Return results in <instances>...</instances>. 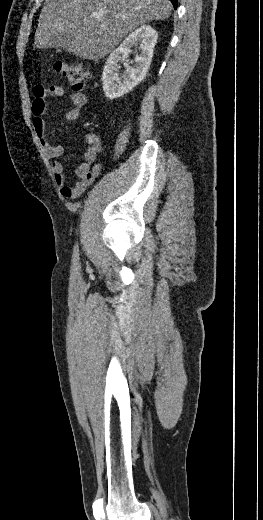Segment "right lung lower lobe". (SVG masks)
<instances>
[{
	"mask_svg": "<svg viewBox=\"0 0 263 520\" xmlns=\"http://www.w3.org/2000/svg\"><path fill=\"white\" fill-rule=\"evenodd\" d=\"M174 6V8L176 9L177 8V0H170Z\"/></svg>",
	"mask_w": 263,
	"mask_h": 520,
	"instance_id": "1",
	"label": "right lung lower lobe"
}]
</instances>
